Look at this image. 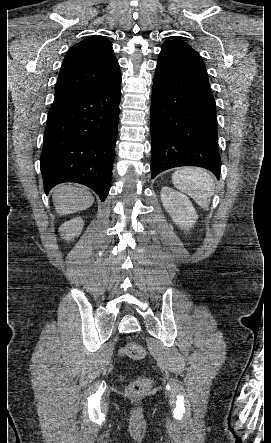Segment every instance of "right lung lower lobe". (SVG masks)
I'll list each match as a JSON object with an SVG mask.
<instances>
[{
	"label": "right lung lower lobe",
	"instance_id": "right-lung-lower-lobe-1",
	"mask_svg": "<svg viewBox=\"0 0 271 443\" xmlns=\"http://www.w3.org/2000/svg\"><path fill=\"white\" fill-rule=\"evenodd\" d=\"M120 98L121 78L108 86L55 95L40 158L46 194L59 183L76 182L106 199Z\"/></svg>",
	"mask_w": 271,
	"mask_h": 443
}]
</instances>
